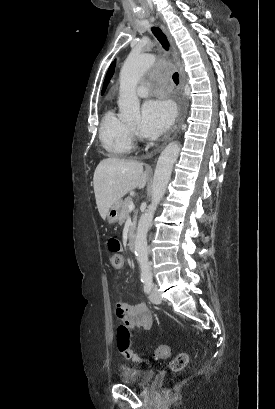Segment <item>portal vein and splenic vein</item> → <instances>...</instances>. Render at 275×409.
<instances>
[{"label": "portal vein and splenic vein", "instance_id": "1", "mask_svg": "<svg viewBox=\"0 0 275 409\" xmlns=\"http://www.w3.org/2000/svg\"><path fill=\"white\" fill-rule=\"evenodd\" d=\"M128 209H129V211H133V209H134L133 202H130V205H128Z\"/></svg>", "mask_w": 275, "mask_h": 409}]
</instances>
